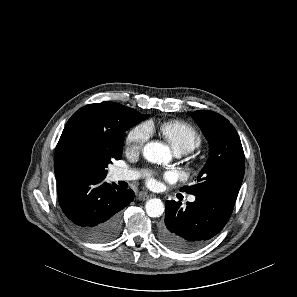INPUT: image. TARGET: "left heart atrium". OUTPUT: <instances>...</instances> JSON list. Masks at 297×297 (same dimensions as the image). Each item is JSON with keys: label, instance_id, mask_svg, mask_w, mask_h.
Segmentation results:
<instances>
[{"label": "left heart atrium", "instance_id": "obj_1", "mask_svg": "<svg viewBox=\"0 0 297 297\" xmlns=\"http://www.w3.org/2000/svg\"><path fill=\"white\" fill-rule=\"evenodd\" d=\"M174 176H175V174L173 172L166 173V177L168 179H172V178H174ZM156 183H157V180H156L154 174H149V176H148V184L151 185V186H154V185H156Z\"/></svg>", "mask_w": 297, "mask_h": 297}]
</instances>
